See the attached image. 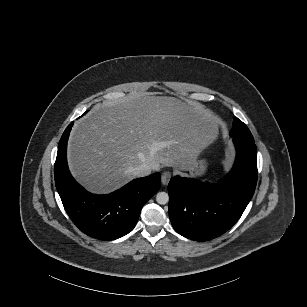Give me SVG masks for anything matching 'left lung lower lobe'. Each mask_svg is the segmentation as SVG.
I'll list each match as a JSON object with an SVG mask.
<instances>
[{
  "label": "left lung lower lobe",
  "instance_id": "obj_1",
  "mask_svg": "<svg viewBox=\"0 0 307 307\" xmlns=\"http://www.w3.org/2000/svg\"><path fill=\"white\" fill-rule=\"evenodd\" d=\"M236 160L217 184L175 176L168 185L169 217L173 228L196 241L216 238L241 217L257 183L254 140L233 138Z\"/></svg>",
  "mask_w": 307,
  "mask_h": 307
}]
</instances>
